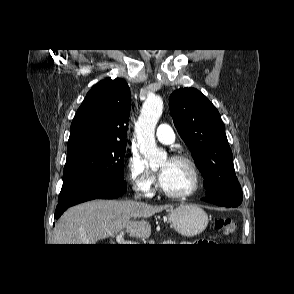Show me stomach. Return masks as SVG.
<instances>
[{"label":"stomach","instance_id":"stomach-1","mask_svg":"<svg viewBox=\"0 0 294 294\" xmlns=\"http://www.w3.org/2000/svg\"><path fill=\"white\" fill-rule=\"evenodd\" d=\"M169 221L178 233L193 237L205 230L208 216L198 205L183 204L169 211Z\"/></svg>","mask_w":294,"mask_h":294}]
</instances>
